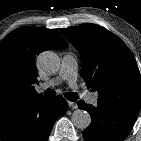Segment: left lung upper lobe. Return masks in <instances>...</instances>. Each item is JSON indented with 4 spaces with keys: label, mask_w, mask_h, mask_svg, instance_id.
Listing matches in <instances>:
<instances>
[{
    "label": "left lung upper lobe",
    "mask_w": 141,
    "mask_h": 141,
    "mask_svg": "<svg viewBox=\"0 0 141 141\" xmlns=\"http://www.w3.org/2000/svg\"><path fill=\"white\" fill-rule=\"evenodd\" d=\"M60 31L80 52L83 79L88 88L98 91L97 102L121 109L140 108V72L119 37L91 23Z\"/></svg>",
    "instance_id": "1"
}]
</instances>
